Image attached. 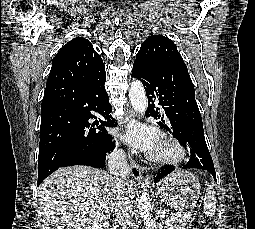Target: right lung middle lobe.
I'll return each mask as SVG.
<instances>
[{"instance_id":"dd1d6c3e","label":"right lung middle lobe","mask_w":255,"mask_h":229,"mask_svg":"<svg viewBox=\"0 0 255 229\" xmlns=\"http://www.w3.org/2000/svg\"><path fill=\"white\" fill-rule=\"evenodd\" d=\"M79 121L72 115L47 120L40 127L38 164L56 165L63 158Z\"/></svg>"}]
</instances>
